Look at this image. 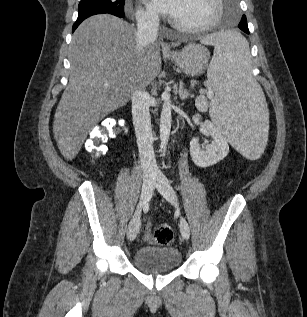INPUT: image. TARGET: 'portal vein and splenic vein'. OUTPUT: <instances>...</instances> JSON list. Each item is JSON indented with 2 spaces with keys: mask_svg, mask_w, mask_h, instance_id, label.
Wrapping results in <instances>:
<instances>
[{
  "mask_svg": "<svg viewBox=\"0 0 307 317\" xmlns=\"http://www.w3.org/2000/svg\"><path fill=\"white\" fill-rule=\"evenodd\" d=\"M104 86L108 87V84H105ZM207 96H208V98H213L214 93L211 90H209V91H207Z\"/></svg>",
  "mask_w": 307,
  "mask_h": 317,
  "instance_id": "portal-vein-and-splenic-vein-1",
  "label": "portal vein and splenic vein"
}]
</instances>
